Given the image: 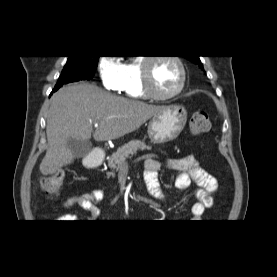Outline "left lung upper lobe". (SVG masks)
<instances>
[{"label": "left lung upper lobe", "instance_id": "5c2ea615", "mask_svg": "<svg viewBox=\"0 0 277 277\" xmlns=\"http://www.w3.org/2000/svg\"><path fill=\"white\" fill-rule=\"evenodd\" d=\"M188 58L191 62L198 64L202 69H203V64L201 63L199 56H191V57H186Z\"/></svg>", "mask_w": 277, "mask_h": 277}]
</instances>
